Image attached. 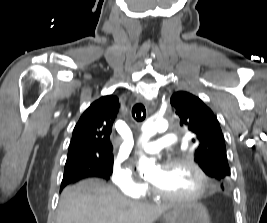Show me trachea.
Returning a JSON list of instances; mask_svg holds the SVG:
<instances>
[{
  "mask_svg": "<svg viewBox=\"0 0 267 223\" xmlns=\"http://www.w3.org/2000/svg\"><path fill=\"white\" fill-rule=\"evenodd\" d=\"M132 116L137 122H141L146 117V109L143 104L137 103L132 108Z\"/></svg>",
  "mask_w": 267,
  "mask_h": 223,
  "instance_id": "obj_1",
  "label": "trachea"
}]
</instances>
